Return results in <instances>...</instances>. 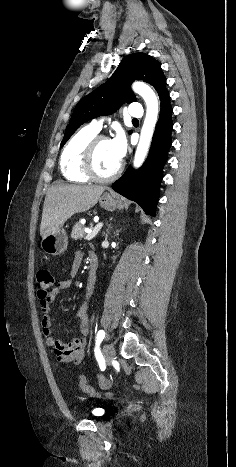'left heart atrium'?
<instances>
[{
  "label": "left heart atrium",
  "instance_id": "obj_1",
  "mask_svg": "<svg viewBox=\"0 0 236 467\" xmlns=\"http://www.w3.org/2000/svg\"><path fill=\"white\" fill-rule=\"evenodd\" d=\"M109 141L115 157L117 160L121 161L124 158L127 150L126 139L123 132L118 131L116 135Z\"/></svg>",
  "mask_w": 236,
  "mask_h": 467
}]
</instances>
